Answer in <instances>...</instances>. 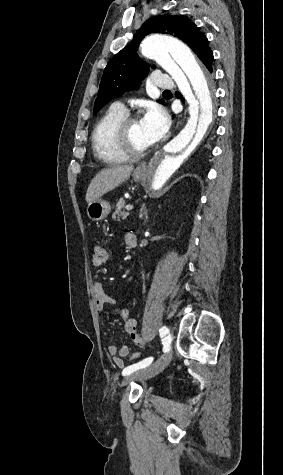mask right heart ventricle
Listing matches in <instances>:
<instances>
[{
	"instance_id": "1",
	"label": "right heart ventricle",
	"mask_w": 283,
	"mask_h": 475,
	"mask_svg": "<svg viewBox=\"0 0 283 475\" xmlns=\"http://www.w3.org/2000/svg\"><path fill=\"white\" fill-rule=\"evenodd\" d=\"M126 116L127 111L124 107L113 104L97 120L92 131L91 140L93 150L98 157V150L101 147H103L105 151L108 145L114 143L112 140L113 130Z\"/></svg>"
}]
</instances>
